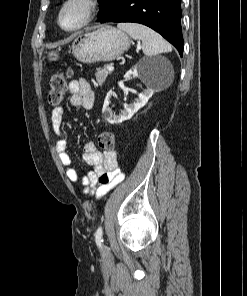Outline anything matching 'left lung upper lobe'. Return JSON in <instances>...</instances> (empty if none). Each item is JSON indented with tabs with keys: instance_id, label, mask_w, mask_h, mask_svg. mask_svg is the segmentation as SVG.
Instances as JSON below:
<instances>
[{
	"instance_id": "obj_1",
	"label": "left lung upper lobe",
	"mask_w": 247,
	"mask_h": 296,
	"mask_svg": "<svg viewBox=\"0 0 247 296\" xmlns=\"http://www.w3.org/2000/svg\"><path fill=\"white\" fill-rule=\"evenodd\" d=\"M111 2L112 0H99V3L101 5V10L99 11L98 16H100L109 8Z\"/></svg>"
}]
</instances>
